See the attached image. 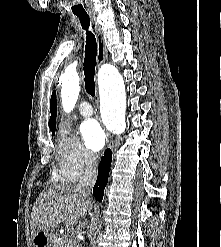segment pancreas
<instances>
[{"label": "pancreas", "mask_w": 221, "mask_h": 247, "mask_svg": "<svg viewBox=\"0 0 221 247\" xmlns=\"http://www.w3.org/2000/svg\"><path fill=\"white\" fill-rule=\"evenodd\" d=\"M71 240L66 236H62L60 239L56 238L54 241V247H72Z\"/></svg>", "instance_id": "pancreas-1"}]
</instances>
